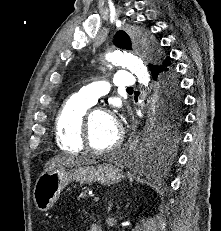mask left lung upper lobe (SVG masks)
<instances>
[{"instance_id": "obj_1", "label": "left lung upper lobe", "mask_w": 221, "mask_h": 231, "mask_svg": "<svg viewBox=\"0 0 221 231\" xmlns=\"http://www.w3.org/2000/svg\"><path fill=\"white\" fill-rule=\"evenodd\" d=\"M115 45L120 48H124L127 50H131L132 43L127 33L124 31H118L115 35ZM149 49L153 57H158V51L154 44H149ZM181 122V98L176 101L173 106L171 112L165 117H157L155 114V119L153 122V132H162L166 133L168 136L175 130V127Z\"/></svg>"}]
</instances>
